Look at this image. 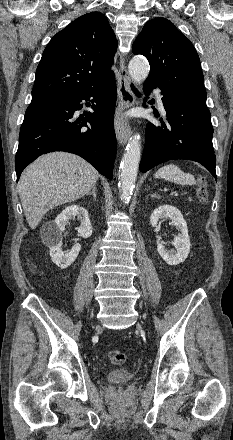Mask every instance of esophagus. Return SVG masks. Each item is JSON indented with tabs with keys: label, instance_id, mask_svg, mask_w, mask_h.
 I'll list each match as a JSON object with an SVG mask.
<instances>
[{
	"label": "esophagus",
	"instance_id": "esophagus-1",
	"mask_svg": "<svg viewBox=\"0 0 233 440\" xmlns=\"http://www.w3.org/2000/svg\"><path fill=\"white\" fill-rule=\"evenodd\" d=\"M119 103L115 132L120 144L124 145L130 138L131 128L129 122L122 116V112L135 104V97L130 89V76L126 69L125 58L121 57L118 79Z\"/></svg>",
	"mask_w": 233,
	"mask_h": 440
}]
</instances>
